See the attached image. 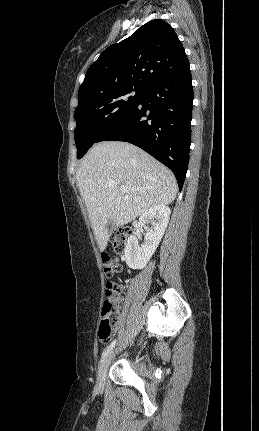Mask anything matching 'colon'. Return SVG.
Returning a JSON list of instances; mask_svg holds the SVG:
<instances>
[{"instance_id":"obj_1","label":"colon","mask_w":259,"mask_h":431,"mask_svg":"<svg viewBox=\"0 0 259 431\" xmlns=\"http://www.w3.org/2000/svg\"><path fill=\"white\" fill-rule=\"evenodd\" d=\"M130 231L128 228H122L116 231L111 236V243L114 251L117 254H122L125 251L127 239ZM104 273L108 278L106 283V296L101 311V321L98 328L99 339L103 342L108 341L118 324L117 298L121 292V286L113 280L114 276L121 272V265L118 260L110 254L103 252L101 255Z\"/></svg>"}]
</instances>
